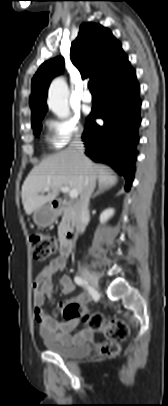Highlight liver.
<instances>
[{"label":"liver","mask_w":168,"mask_h":406,"mask_svg":"<svg viewBox=\"0 0 168 406\" xmlns=\"http://www.w3.org/2000/svg\"><path fill=\"white\" fill-rule=\"evenodd\" d=\"M91 171L100 186L116 184L109 167L93 163L89 158H77L69 149L53 154L35 166L22 186V203L27 215L53 201L59 194L61 186H68L82 194L85 189V173ZM49 187L47 195L40 194Z\"/></svg>","instance_id":"liver-1"}]
</instances>
